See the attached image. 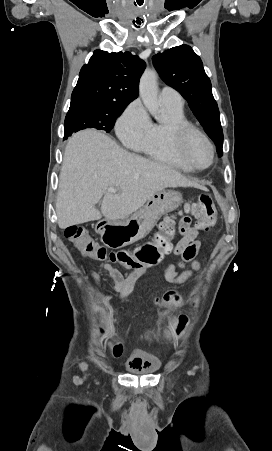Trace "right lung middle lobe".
Instances as JSON below:
<instances>
[{
	"mask_svg": "<svg viewBox=\"0 0 272 451\" xmlns=\"http://www.w3.org/2000/svg\"><path fill=\"white\" fill-rule=\"evenodd\" d=\"M128 104L99 101H81L70 104L65 118L64 139L85 128L111 131L115 120Z\"/></svg>",
	"mask_w": 272,
	"mask_h": 451,
	"instance_id": "dd1d6c3e",
	"label": "right lung middle lobe"
}]
</instances>
